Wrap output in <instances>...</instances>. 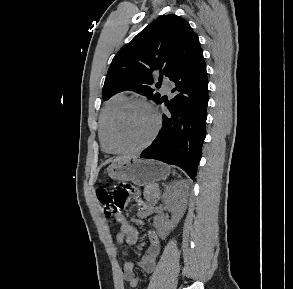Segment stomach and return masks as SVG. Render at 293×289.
Returning a JSON list of instances; mask_svg holds the SVG:
<instances>
[{
    "label": "stomach",
    "instance_id": "1",
    "mask_svg": "<svg viewBox=\"0 0 293 289\" xmlns=\"http://www.w3.org/2000/svg\"><path fill=\"white\" fill-rule=\"evenodd\" d=\"M109 177L117 181H131L138 186L154 184L164 180L170 168L155 160H143L137 157L113 162L108 168Z\"/></svg>",
    "mask_w": 293,
    "mask_h": 289
}]
</instances>
